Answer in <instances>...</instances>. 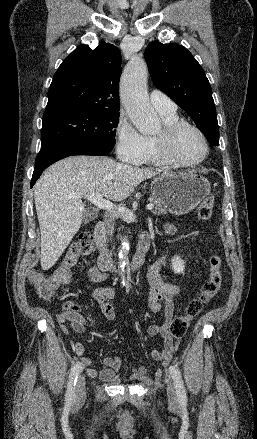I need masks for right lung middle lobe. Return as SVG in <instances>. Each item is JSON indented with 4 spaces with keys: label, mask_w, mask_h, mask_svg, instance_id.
<instances>
[{
    "label": "right lung middle lobe",
    "mask_w": 257,
    "mask_h": 439,
    "mask_svg": "<svg viewBox=\"0 0 257 439\" xmlns=\"http://www.w3.org/2000/svg\"><path fill=\"white\" fill-rule=\"evenodd\" d=\"M119 109H77L43 118L41 149L85 142L113 147Z\"/></svg>",
    "instance_id": "dd1d6c3e"
}]
</instances>
